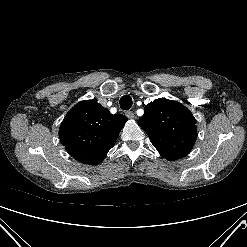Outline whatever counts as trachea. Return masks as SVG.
Here are the masks:
<instances>
[{"instance_id": "3493384b", "label": "trachea", "mask_w": 247, "mask_h": 247, "mask_svg": "<svg viewBox=\"0 0 247 247\" xmlns=\"http://www.w3.org/2000/svg\"><path fill=\"white\" fill-rule=\"evenodd\" d=\"M132 106V98L129 95H124L120 99V108L122 110H129Z\"/></svg>"}]
</instances>
